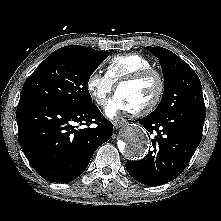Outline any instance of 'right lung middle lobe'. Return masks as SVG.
<instances>
[{"instance_id":"right-lung-middle-lobe-1","label":"right lung middle lobe","mask_w":221,"mask_h":221,"mask_svg":"<svg viewBox=\"0 0 221 221\" xmlns=\"http://www.w3.org/2000/svg\"><path fill=\"white\" fill-rule=\"evenodd\" d=\"M109 52H86L72 46L62 47L49 55L27 78L20 100H37L80 108L92 98L88 81Z\"/></svg>"}]
</instances>
